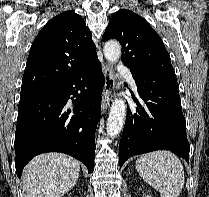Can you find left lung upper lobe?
<instances>
[{
    "label": "left lung upper lobe",
    "instance_id": "1",
    "mask_svg": "<svg viewBox=\"0 0 209 197\" xmlns=\"http://www.w3.org/2000/svg\"><path fill=\"white\" fill-rule=\"evenodd\" d=\"M103 40L117 39L122 45L121 60L139 80L177 83L170 56L159 35L145 19L132 11L115 12Z\"/></svg>",
    "mask_w": 209,
    "mask_h": 197
}]
</instances>
